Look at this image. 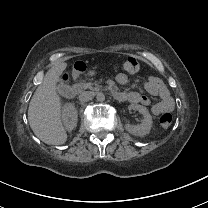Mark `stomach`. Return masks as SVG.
Returning <instances> with one entry per match:
<instances>
[{
    "instance_id": "stomach-1",
    "label": "stomach",
    "mask_w": 208,
    "mask_h": 208,
    "mask_svg": "<svg viewBox=\"0 0 208 208\" xmlns=\"http://www.w3.org/2000/svg\"><path fill=\"white\" fill-rule=\"evenodd\" d=\"M88 74L89 75H94L95 74V71H89Z\"/></svg>"
}]
</instances>
